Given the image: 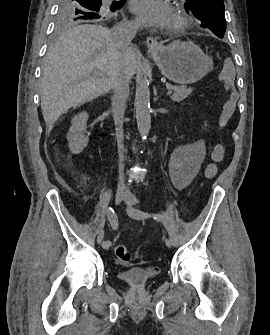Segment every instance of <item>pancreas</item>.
<instances>
[{"label": "pancreas", "mask_w": 270, "mask_h": 335, "mask_svg": "<svg viewBox=\"0 0 270 335\" xmlns=\"http://www.w3.org/2000/svg\"><path fill=\"white\" fill-rule=\"evenodd\" d=\"M167 88L168 90H174V94L171 96L173 102H182L192 94V88H187V86H167Z\"/></svg>", "instance_id": "obj_1"}]
</instances>
